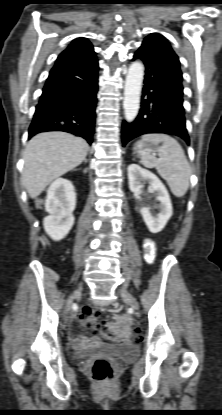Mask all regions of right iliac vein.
<instances>
[{
	"instance_id": "obj_1",
	"label": "right iliac vein",
	"mask_w": 222,
	"mask_h": 415,
	"mask_svg": "<svg viewBox=\"0 0 222 415\" xmlns=\"http://www.w3.org/2000/svg\"><path fill=\"white\" fill-rule=\"evenodd\" d=\"M80 292L79 291H75L67 300L66 303V311L68 312L71 309V306L73 304L74 299L79 296Z\"/></svg>"
}]
</instances>
